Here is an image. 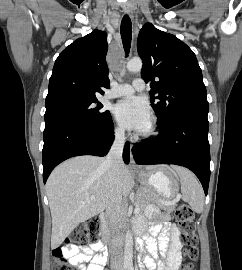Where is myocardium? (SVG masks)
<instances>
[{
	"label": "myocardium",
	"mask_w": 242,
	"mask_h": 270,
	"mask_svg": "<svg viewBox=\"0 0 242 270\" xmlns=\"http://www.w3.org/2000/svg\"><path fill=\"white\" fill-rule=\"evenodd\" d=\"M156 131H157V122L155 118H152L147 128L140 133V136L142 138H150L156 134Z\"/></svg>",
	"instance_id": "f54148a6"
}]
</instances>
